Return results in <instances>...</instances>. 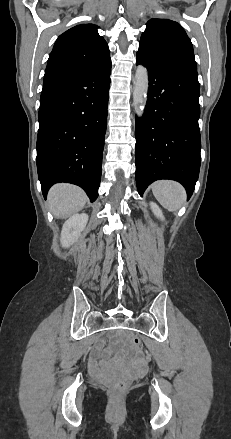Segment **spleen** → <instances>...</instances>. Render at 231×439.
<instances>
[{
  "instance_id": "3e777b00",
  "label": "spleen",
  "mask_w": 231,
  "mask_h": 439,
  "mask_svg": "<svg viewBox=\"0 0 231 439\" xmlns=\"http://www.w3.org/2000/svg\"><path fill=\"white\" fill-rule=\"evenodd\" d=\"M152 192L158 202L170 212L177 211L186 200V191L183 186L171 180L155 182Z\"/></svg>"
}]
</instances>
